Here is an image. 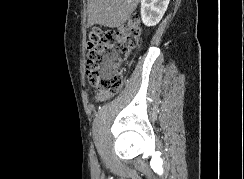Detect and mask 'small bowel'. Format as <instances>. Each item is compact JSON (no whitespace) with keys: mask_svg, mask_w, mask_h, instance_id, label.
Returning a JSON list of instances; mask_svg holds the SVG:
<instances>
[{"mask_svg":"<svg viewBox=\"0 0 244 179\" xmlns=\"http://www.w3.org/2000/svg\"><path fill=\"white\" fill-rule=\"evenodd\" d=\"M111 97V94L102 92L100 90H97L95 92V101L96 102H105Z\"/></svg>","mask_w":244,"mask_h":179,"instance_id":"obj_1","label":"small bowel"}]
</instances>
